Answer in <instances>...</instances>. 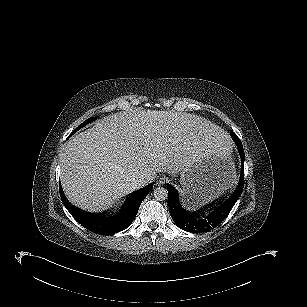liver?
Masks as SVG:
<instances>
[{"mask_svg":"<svg viewBox=\"0 0 307 307\" xmlns=\"http://www.w3.org/2000/svg\"><path fill=\"white\" fill-rule=\"evenodd\" d=\"M221 139L218 127L191 114L115 113L66 143L62 188L74 205L103 211L134 190L133 178H144L147 185L159 172L175 175L208 155V149Z\"/></svg>","mask_w":307,"mask_h":307,"instance_id":"1","label":"liver"}]
</instances>
